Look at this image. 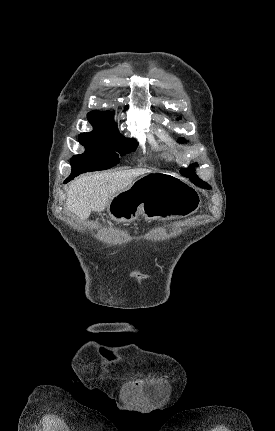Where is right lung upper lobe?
<instances>
[{
    "instance_id": "1",
    "label": "right lung upper lobe",
    "mask_w": 275,
    "mask_h": 431,
    "mask_svg": "<svg viewBox=\"0 0 275 431\" xmlns=\"http://www.w3.org/2000/svg\"><path fill=\"white\" fill-rule=\"evenodd\" d=\"M88 120L92 124L102 123V122H113L112 114L110 112H101V111H91L87 115Z\"/></svg>"
}]
</instances>
